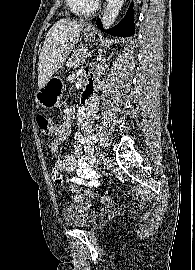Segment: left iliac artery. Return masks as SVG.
I'll use <instances>...</instances> for the list:
<instances>
[{"mask_svg":"<svg viewBox=\"0 0 195 270\" xmlns=\"http://www.w3.org/2000/svg\"><path fill=\"white\" fill-rule=\"evenodd\" d=\"M99 158H100V161L103 160V154L102 153L100 154V157Z\"/></svg>","mask_w":195,"mask_h":270,"instance_id":"44dca946","label":"left iliac artery"}]
</instances>
